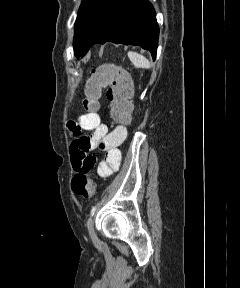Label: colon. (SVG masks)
I'll return each instance as SVG.
<instances>
[{
	"label": "colon",
	"mask_w": 240,
	"mask_h": 288,
	"mask_svg": "<svg viewBox=\"0 0 240 288\" xmlns=\"http://www.w3.org/2000/svg\"><path fill=\"white\" fill-rule=\"evenodd\" d=\"M106 87L113 120L128 123L133 110V90L128 72L121 67L104 64L91 70L83 90L84 108L89 112H96L99 109L102 90ZM72 190L77 196L89 199L94 195L96 186L87 174L81 173L72 179Z\"/></svg>",
	"instance_id": "colon-1"
}]
</instances>
